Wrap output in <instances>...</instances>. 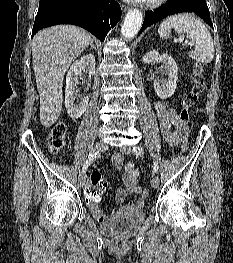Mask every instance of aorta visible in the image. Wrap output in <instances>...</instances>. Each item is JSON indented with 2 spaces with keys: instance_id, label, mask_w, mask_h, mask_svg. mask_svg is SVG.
<instances>
[{
  "instance_id": "762f6f07",
  "label": "aorta",
  "mask_w": 233,
  "mask_h": 263,
  "mask_svg": "<svg viewBox=\"0 0 233 263\" xmlns=\"http://www.w3.org/2000/svg\"><path fill=\"white\" fill-rule=\"evenodd\" d=\"M143 23V14L138 9L130 10L124 19L121 27V34L127 38L132 39L140 30Z\"/></svg>"
}]
</instances>
